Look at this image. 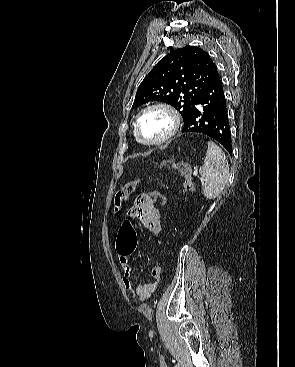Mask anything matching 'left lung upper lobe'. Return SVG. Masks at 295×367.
Returning a JSON list of instances; mask_svg holds the SVG:
<instances>
[{
	"mask_svg": "<svg viewBox=\"0 0 295 367\" xmlns=\"http://www.w3.org/2000/svg\"><path fill=\"white\" fill-rule=\"evenodd\" d=\"M216 66L196 46L176 49L162 58L139 85L132 108L163 101L181 114L183 121Z\"/></svg>",
	"mask_w": 295,
	"mask_h": 367,
	"instance_id": "obj_1",
	"label": "left lung upper lobe"
}]
</instances>
